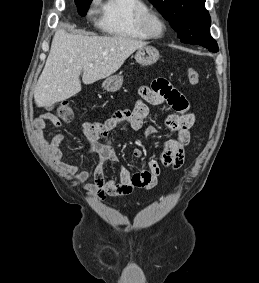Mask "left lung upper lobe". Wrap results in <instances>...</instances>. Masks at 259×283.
Returning <instances> with one entry per match:
<instances>
[{"instance_id": "5c2ea615", "label": "left lung upper lobe", "mask_w": 259, "mask_h": 283, "mask_svg": "<svg viewBox=\"0 0 259 283\" xmlns=\"http://www.w3.org/2000/svg\"><path fill=\"white\" fill-rule=\"evenodd\" d=\"M167 19L178 38L188 44H212L211 19L205 9V0H150Z\"/></svg>"}]
</instances>
